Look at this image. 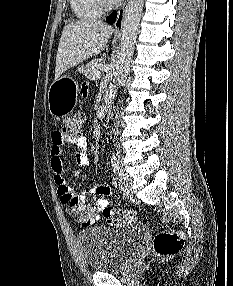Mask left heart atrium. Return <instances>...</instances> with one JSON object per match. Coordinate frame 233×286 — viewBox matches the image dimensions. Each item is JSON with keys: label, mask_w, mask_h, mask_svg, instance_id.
I'll use <instances>...</instances> for the list:
<instances>
[{"label": "left heart atrium", "mask_w": 233, "mask_h": 286, "mask_svg": "<svg viewBox=\"0 0 233 286\" xmlns=\"http://www.w3.org/2000/svg\"><path fill=\"white\" fill-rule=\"evenodd\" d=\"M112 1L118 2L119 0H112Z\"/></svg>", "instance_id": "obj_1"}]
</instances>
